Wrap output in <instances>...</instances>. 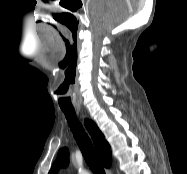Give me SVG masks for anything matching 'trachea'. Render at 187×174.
<instances>
[{"label": "trachea", "instance_id": "obj_1", "mask_svg": "<svg viewBox=\"0 0 187 174\" xmlns=\"http://www.w3.org/2000/svg\"><path fill=\"white\" fill-rule=\"evenodd\" d=\"M62 111L65 114L70 129L74 135V138L76 139L77 144L80 147L85 161L87 162L93 174H106L94 150L91 140L84 132V129L76 116L75 110L73 108H62Z\"/></svg>", "mask_w": 187, "mask_h": 174}]
</instances>
